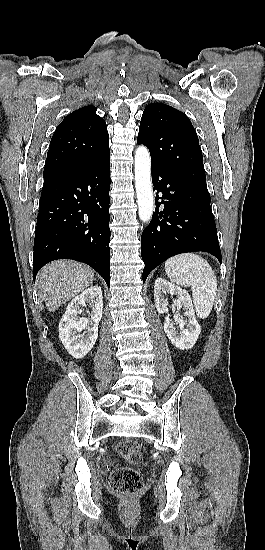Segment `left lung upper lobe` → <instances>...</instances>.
I'll list each match as a JSON object with an SVG mask.
<instances>
[{"label":"left lung upper lobe","instance_id":"left-lung-upper-lobe-1","mask_svg":"<svg viewBox=\"0 0 265 550\" xmlns=\"http://www.w3.org/2000/svg\"><path fill=\"white\" fill-rule=\"evenodd\" d=\"M137 143L147 146L151 161L208 192L199 140L183 112L163 103L147 105Z\"/></svg>","mask_w":265,"mask_h":550}]
</instances>
